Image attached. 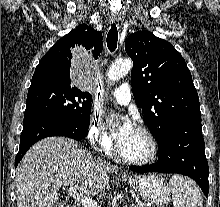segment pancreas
<instances>
[{
	"label": "pancreas",
	"instance_id": "obj_1",
	"mask_svg": "<svg viewBox=\"0 0 220 207\" xmlns=\"http://www.w3.org/2000/svg\"><path fill=\"white\" fill-rule=\"evenodd\" d=\"M132 207H145L141 201H136V204H132Z\"/></svg>",
	"mask_w": 220,
	"mask_h": 207
}]
</instances>
